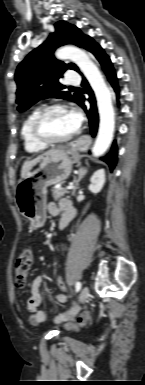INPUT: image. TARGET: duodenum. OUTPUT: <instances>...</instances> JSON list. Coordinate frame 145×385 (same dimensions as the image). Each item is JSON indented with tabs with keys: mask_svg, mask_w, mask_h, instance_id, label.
<instances>
[{
	"mask_svg": "<svg viewBox=\"0 0 145 385\" xmlns=\"http://www.w3.org/2000/svg\"><path fill=\"white\" fill-rule=\"evenodd\" d=\"M72 218H73L72 217V211H70V210L66 211L58 223V228L60 230L65 229L69 225Z\"/></svg>",
	"mask_w": 145,
	"mask_h": 385,
	"instance_id": "obj_1",
	"label": "duodenum"
}]
</instances>
